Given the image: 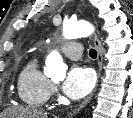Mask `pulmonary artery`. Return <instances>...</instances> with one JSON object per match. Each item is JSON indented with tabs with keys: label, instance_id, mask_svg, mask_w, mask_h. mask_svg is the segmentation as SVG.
I'll list each match as a JSON object with an SVG mask.
<instances>
[{
	"label": "pulmonary artery",
	"instance_id": "1",
	"mask_svg": "<svg viewBox=\"0 0 133 118\" xmlns=\"http://www.w3.org/2000/svg\"><path fill=\"white\" fill-rule=\"evenodd\" d=\"M63 54L71 60H79L82 57L83 46L79 41H68L61 46Z\"/></svg>",
	"mask_w": 133,
	"mask_h": 118
}]
</instances>
